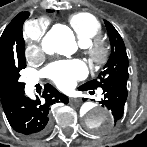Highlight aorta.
<instances>
[{
  "label": "aorta",
  "mask_w": 147,
  "mask_h": 147,
  "mask_svg": "<svg viewBox=\"0 0 147 147\" xmlns=\"http://www.w3.org/2000/svg\"><path fill=\"white\" fill-rule=\"evenodd\" d=\"M42 48L45 53L52 55L59 53L71 55L77 49L73 33L66 27L52 29L42 40ZM80 114L85 124L94 130H107L113 124L112 114L103 107L84 103L80 108Z\"/></svg>",
  "instance_id": "1"
}]
</instances>
